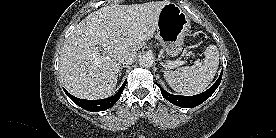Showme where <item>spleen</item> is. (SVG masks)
<instances>
[{"label":"spleen","mask_w":276,"mask_h":138,"mask_svg":"<svg viewBox=\"0 0 276 138\" xmlns=\"http://www.w3.org/2000/svg\"><path fill=\"white\" fill-rule=\"evenodd\" d=\"M204 55L203 63L165 72L164 78L169 86L182 95H194L204 91L217 72L219 51L215 45H209Z\"/></svg>","instance_id":"1"}]
</instances>
